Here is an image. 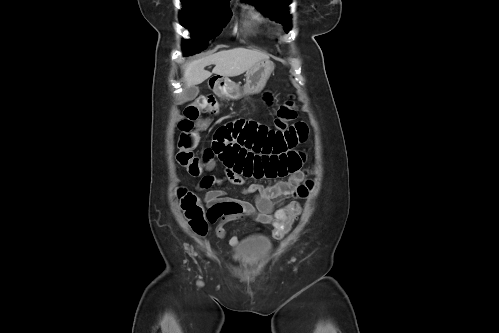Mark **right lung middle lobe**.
<instances>
[{
	"label": "right lung middle lobe",
	"instance_id": "right-lung-middle-lobe-1",
	"mask_svg": "<svg viewBox=\"0 0 499 333\" xmlns=\"http://www.w3.org/2000/svg\"><path fill=\"white\" fill-rule=\"evenodd\" d=\"M181 24L193 37L184 41V55L204 50L208 41L218 36L232 13L229 0H181Z\"/></svg>",
	"mask_w": 499,
	"mask_h": 333
}]
</instances>
